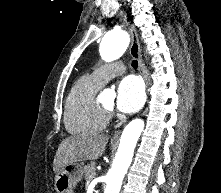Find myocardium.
Here are the masks:
<instances>
[{"label":"myocardium","mask_w":221,"mask_h":193,"mask_svg":"<svg viewBox=\"0 0 221 193\" xmlns=\"http://www.w3.org/2000/svg\"><path fill=\"white\" fill-rule=\"evenodd\" d=\"M98 107L100 108V110L105 114V116L108 118L109 116H111L112 114V108H107L104 105H102L100 102L96 101Z\"/></svg>","instance_id":"myocardium-1"}]
</instances>
